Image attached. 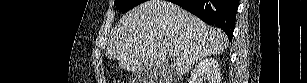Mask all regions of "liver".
<instances>
[{"label": "liver", "instance_id": "obj_1", "mask_svg": "<svg viewBox=\"0 0 307 83\" xmlns=\"http://www.w3.org/2000/svg\"><path fill=\"white\" fill-rule=\"evenodd\" d=\"M228 38L219 29L165 0H149L127 12L112 29L106 56L127 71L165 69L174 49L169 73L183 75L198 60L224 52ZM164 72V70H163ZM164 81H170L168 77ZM170 83V82H166Z\"/></svg>", "mask_w": 307, "mask_h": 83}]
</instances>
